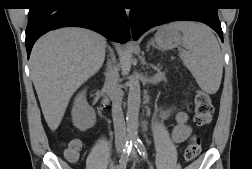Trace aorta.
<instances>
[{
    "label": "aorta",
    "mask_w": 252,
    "mask_h": 169,
    "mask_svg": "<svg viewBox=\"0 0 252 169\" xmlns=\"http://www.w3.org/2000/svg\"><path fill=\"white\" fill-rule=\"evenodd\" d=\"M141 104V87L137 75L129 79V92L127 100L126 125L127 139L132 142L138 139L139 110Z\"/></svg>",
    "instance_id": "obj_1"
}]
</instances>
